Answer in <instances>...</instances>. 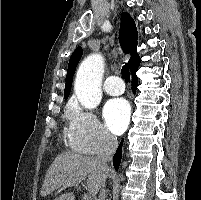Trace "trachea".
Listing matches in <instances>:
<instances>
[{
    "label": "trachea",
    "mask_w": 201,
    "mask_h": 200,
    "mask_svg": "<svg viewBox=\"0 0 201 200\" xmlns=\"http://www.w3.org/2000/svg\"><path fill=\"white\" fill-rule=\"evenodd\" d=\"M121 74L126 82H130V71L127 65L122 66Z\"/></svg>",
    "instance_id": "1"
}]
</instances>
